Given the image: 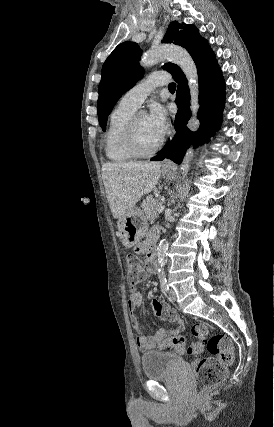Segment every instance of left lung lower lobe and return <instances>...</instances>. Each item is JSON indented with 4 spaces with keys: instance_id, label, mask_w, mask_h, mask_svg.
Here are the masks:
<instances>
[{
    "instance_id": "left-lung-lower-lobe-1",
    "label": "left lung lower lobe",
    "mask_w": 274,
    "mask_h": 427,
    "mask_svg": "<svg viewBox=\"0 0 274 427\" xmlns=\"http://www.w3.org/2000/svg\"><path fill=\"white\" fill-rule=\"evenodd\" d=\"M198 71L199 103L198 119L200 128L191 132L187 125L191 112L189 110V88L184 73L179 70L173 78L178 83L176 104L178 112L175 117L176 134L152 161L170 158L180 164L190 143L195 145L208 141L220 126L225 102V83L215 55L206 40L200 41L190 53Z\"/></svg>"
}]
</instances>
